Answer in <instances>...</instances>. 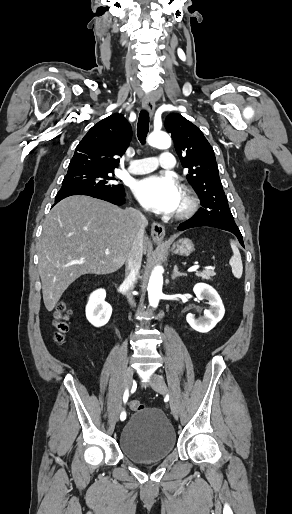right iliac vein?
<instances>
[{"mask_svg": "<svg viewBox=\"0 0 292 514\" xmlns=\"http://www.w3.org/2000/svg\"><path fill=\"white\" fill-rule=\"evenodd\" d=\"M132 377H133V369L132 367H127L126 371H125V378H124V385H125V389H129L131 387V384H132ZM119 417V409L116 410V419H118Z\"/></svg>", "mask_w": 292, "mask_h": 514, "instance_id": "obj_1", "label": "right iliac vein"}]
</instances>
